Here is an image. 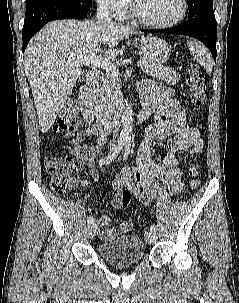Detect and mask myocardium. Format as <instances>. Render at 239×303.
Masks as SVG:
<instances>
[{
  "instance_id": "1",
  "label": "myocardium",
  "mask_w": 239,
  "mask_h": 303,
  "mask_svg": "<svg viewBox=\"0 0 239 303\" xmlns=\"http://www.w3.org/2000/svg\"><path fill=\"white\" fill-rule=\"evenodd\" d=\"M180 2H181L180 13L175 18L166 22H154L144 18L139 12L134 0H131V13L134 19L144 26L151 28H158V29L170 28L179 24L187 15L188 0H180Z\"/></svg>"
}]
</instances>
